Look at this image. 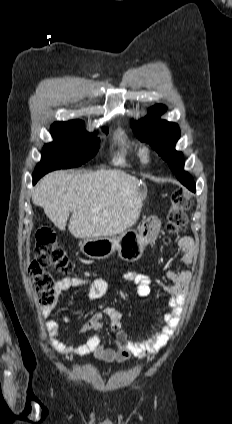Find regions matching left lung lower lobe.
<instances>
[{"instance_id": "left-lung-lower-lobe-1", "label": "left lung lower lobe", "mask_w": 232, "mask_h": 424, "mask_svg": "<svg viewBox=\"0 0 232 424\" xmlns=\"http://www.w3.org/2000/svg\"><path fill=\"white\" fill-rule=\"evenodd\" d=\"M183 185H185L189 190L195 192V183L191 176H188L186 178H182L179 180Z\"/></svg>"}]
</instances>
